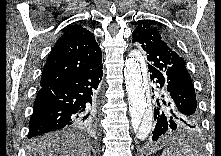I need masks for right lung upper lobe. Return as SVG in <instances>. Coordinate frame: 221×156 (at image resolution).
<instances>
[{
	"label": "right lung upper lobe",
	"instance_id": "1",
	"mask_svg": "<svg viewBox=\"0 0 221 156\" xmlns=\"http://www.w3.org/2000/svg\"><path fill=\"white\" fill-rule=\"evenodd\" d=\"M94 34L72 25L55 43L43 69L40 86L51 87L101 65Z\"/></svg>",
	"mask_w": 221,
	"mask_h": 156
}]
</instances>
